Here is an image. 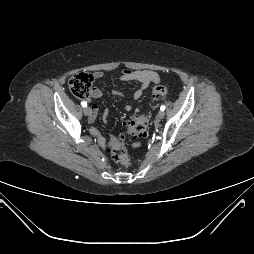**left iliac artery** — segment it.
Returning a JSON list of instances; mask_svg holds the SVG:
<instances>
[{"instance_id": "left-iliac-artery-1", "label": "left iliac artery", "mask_w": 254, "mask_h": 254, "mask_svg": "<svg viewBox=\"0 0 254 254\" xmlns=\"http://www.w3.org/2000/svg\"><path fill=\"white\" fill-rule=\"evenodd\" d=\"M160 109L164 111L165 110V105H161Z\"/></svg>"}]
</instances>
